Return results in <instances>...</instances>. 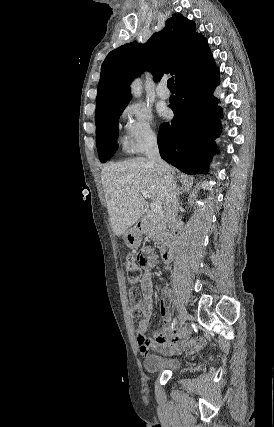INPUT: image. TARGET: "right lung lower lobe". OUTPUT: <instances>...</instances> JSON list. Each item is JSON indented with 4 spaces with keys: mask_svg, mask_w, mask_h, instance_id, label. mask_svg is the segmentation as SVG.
Returning <instances> with one entry per match:
<instances>
[{
    "mask_svg": "<svg viewBox=\"0 0 274 427\" xmlns=\"http://www.w3.org/2000/svg\"><path fill=\"white\" fill-rule=\"evenodd\" d=\"M219 84V69L210 62L186 74L175 83L176 96L169 107L171 123L160 126L158 146L161 157L187 174H202L216 153L222 110L213 96Z\"/></svg>",
    "mask_w": 274,
    "mask_h": 427,
    "instance_id": "obj_1",
    "label": "right lung lower lobe"
}]
</instances>
